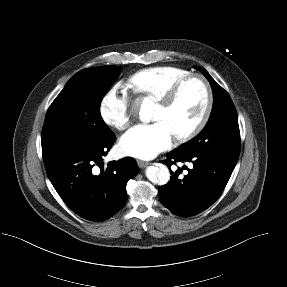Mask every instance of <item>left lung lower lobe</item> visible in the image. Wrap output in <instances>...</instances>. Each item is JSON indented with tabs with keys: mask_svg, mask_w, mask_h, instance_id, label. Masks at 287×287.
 Returning a JSON list of instances; mask_svg holds the SVG:
<instances>
[{
	"mask_svg": "<svg viewBox=\"0 0 287 287\" xmlns=\"http://www.w3.org/2000/svg\"><path fill=\"white\" fill-rule=\"evenodd\" d=\"M166 156L163 163L169 167L171 177L166 185L159 187V199L181 217L196 215L210 207L221 195L237 162L207 151L175 149ZM175 162H191L193 167L187 168L188 174L182 177L181 168L176 172L170 169Z\"/></svg>",
	"mask_w": 287,
	"mask_h": 287,
	"instance_id": "obj_1",
	"label": "left lung lower lobe"
}]
</instances>
